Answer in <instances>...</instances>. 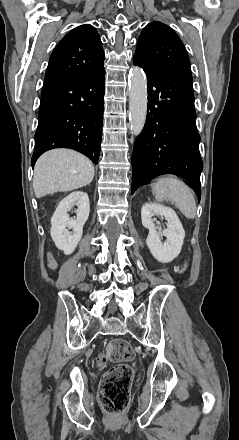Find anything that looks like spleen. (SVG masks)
<instances>
[{
    "instance_id": "1",
    "label": "spleen",
    "mask_w": 239,
    "mask_h": 440,
    "mask_svg": "<svg viewBox=\"0 0 239 440\" xmlns=\"http://www.w3.org/2000/svg\"><path fill=\"white\" fill-rule=\"evenodd\" d=\"M157 202L169 200L177 206L178 210L184 214L188 220H193L196 216V202L194 192L188 188L184 182L178 180L176 176H166L159 178L156 184H151Z\"/></svg>"
}]
</instances>
